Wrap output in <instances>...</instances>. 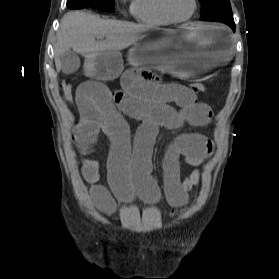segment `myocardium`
<instances>
[{"instance_id": "obj_1", "label": "myocardium", "mask_w": 279, "mask_h": 279, "mask_svg": "<svg viewBox=\"0 0 279 279\" xmlns=\"http://www.w3.org/2000/svg\"><path fill=\"white\" fill-rule=\"evenodd\" d=\"M160 1V8L163 12V14L169 19L171 20L173 23H184L187 22L189 20H191L193 18V16L196 14L197 10H198V0H193V9L191 11V13L184 18H178L175 17L167 8V0H159Z\"/></svg>"}]
</instances>
